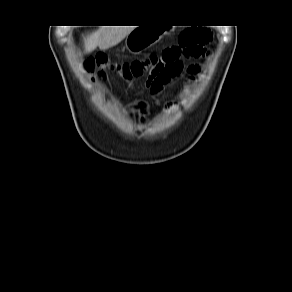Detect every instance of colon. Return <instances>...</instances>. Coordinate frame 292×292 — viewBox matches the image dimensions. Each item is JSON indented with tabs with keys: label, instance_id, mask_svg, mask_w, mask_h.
I'll return each instance as SVG.
<instances>
[{
	"label": "colon",
	"instance_id": "5ec220e1",
	"mask_svg": "<svg viewBox=\"0 0 292 292\" xmlns=\"http://www.w3.org/2000/svg\"><path fill=\"white\" fill-rule=\"evenodd\" d=\"M211 38L210 30L191 27L180 34L178 45L164 50L161 54H152L144 59L124 63H112L106 56L97 55L91 58L84 68L93 79L104 78L109 71H114L127 80L148 74L147 85L153 91L182 72L183 58L203 55V47Z\"/></svg>",
	"mask_w": 292,
	"mask_h": 292
}]
</instances>
